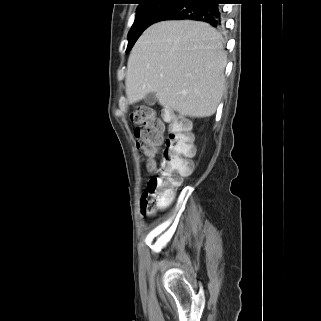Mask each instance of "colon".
<instances>
[{
	"label": "colon",
	"mask_w": 321,
	"mask_h": 321,
	"mask_svg": "<svg viewBox=\"0 0 321 321\" xmlns=\"http://www.w3.org/2000/svg\"><path fill=\"white\" fill-rule=\"evenodd\" d=\"M131 119L138 125L134 130L136 144L153 174L141 199L142 211L149 215L166 207L172 201L173 188L192 173L195 147L188 124L177 114L167 112L161 120L152 109L140 106L131 113ZM162 144L160 160L156 161Z\"/></svg>",
	"instance_id": "5ec220e1"
}]
</instances>
